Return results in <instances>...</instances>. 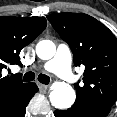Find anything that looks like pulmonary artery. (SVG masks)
<instances>
[{"label":"pulmonary artery","instance_id":"e3ab8cb5","mask_svg":"<svg viewBox=\"0 0 117 117\" xmlns=\"http://www.w3.org/2000/svg\"><path fill=\"white\" fill-rule=\"evenodd\" d=\"M71 64L72 52L68 45L62 43L58 46L55 56L45 63L44 68L49 72H53L66 82L72 83L75 77L71 70Z\"/></svg>","mask_w":117,"mask_h":117}]
</instances>
